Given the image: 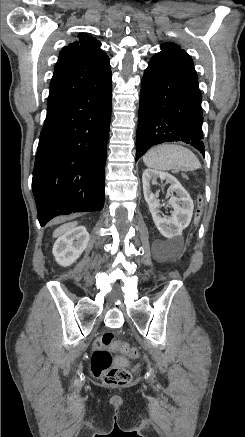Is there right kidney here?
Listing matches in <instances>:
<instances>
[{"label": "right kidney", "instance_id": "obj_1", "mask_svg": "<svg viewBox=\"0 0 245 437\" xmlns=\"http://www.w3.org/2000/svg\"><path fill=\"white\" fill-rule=\"evenodd\" d=\"M89 241V233L83 226L67 231L57 239L53 246V255L61 266H70L82 254Z\"/></svg>", "mask_w": 245, "mask_h": 437}]
</instances>
